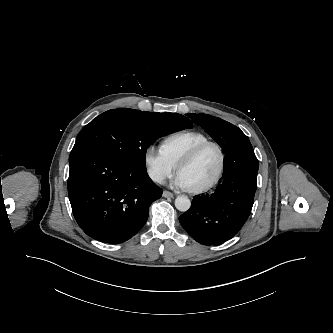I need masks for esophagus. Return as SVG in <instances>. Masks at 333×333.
I'll return each mask as SVG.
<instances>
[{
	"instance_id": "esophagus-1",
	"label": "esophagus",
	"mask_w": 333,
	"mask_h": 333,
	"mask_svg": "<svg viewBox=\"0 0 333 333\" xmlns=\"http://www.w3.org/2000/svg\"><path fill=\"white\" fill-rule=\"evenodd\" d=\"M162 196L165 198H172L174 195H173V193L165 190V191H163Z\"/></svg>"
}]
</instances>
